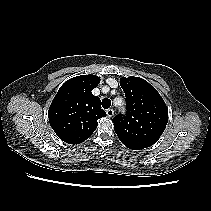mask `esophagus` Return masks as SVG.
<instances>
[{
    "mask_svg": "<svg viewBox=\"0 0 211 211\" xmlns=\"http://www.w3.org/2000/svg\"><path fill=\"white\" fill-rule=\"evenodd\" d=\"M106 114H107L108 117H113V115H114V110H113V109H108V110L106 111Z\"/></svg>",
    "mask_w": 211,
    "mask_h": 211,
    "instance_id": "esophagus-1",
    "label": "esophagus"
}]
</instances>
